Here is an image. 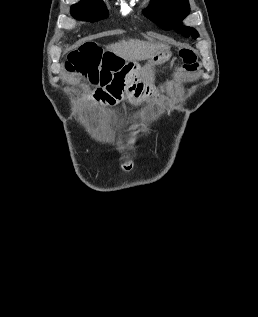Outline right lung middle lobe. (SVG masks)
I'll return each instance as SVG.
<instances>
[{
  "label": "right lung middle lobe",
  "instance_id": "obj_1",
  "mask_svg": "<svg viewBox=\"0 0 258 317\" xmlns=\"http://www.w3.org/2000/svg\"><path fill=\"white\" fill-rule=\"evenodd\" d=\"M71 14L80 20L97 21L108 17V11L101 0H84L73 5Z\"/></svg>",
  "mask_w": 258,
  "mask_h": 317
}]
</instances>
